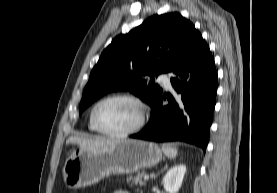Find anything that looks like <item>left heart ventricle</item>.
Instances as JSON below:
<instances>
[{
  "instance_id": "1",
  "label": "left heart ventricle",
  "mask_w": 277,
  "mask_h": 193,
  "mask_svg": "<svg viewBox=\"0 0 277 193\" xmlns=\"http://www.w3.org/2000/svg\"><path fill=\"white\" fill-rule=\"evenodd\" d=\"M140 118V108L133 102L116 99L104 102L96 111V120L105 130L120 132L132 128Z\"/></svg>"
}]
</instances>
